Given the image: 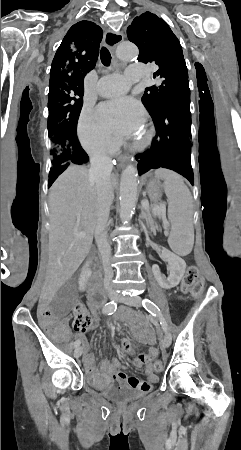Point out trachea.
I'll return each mask as SVG.
<instances>
[{"label": "trachea", "instance_id": "3493384b", "mask_svg": "<svg viewBox=\"0 0 241 450\" xmlns=\"http://www.w3.org/2000/svg\"><path fill=\"white\" fill-rule=\"evenodd\" d=\"M111 54L109 52V50L105 47L101 48V53H100V59L101 62L103 63V65L105 66H109L111 63Z\"/></svg>", "mask_w": 241, "mask_h": 450}]
</instances>
